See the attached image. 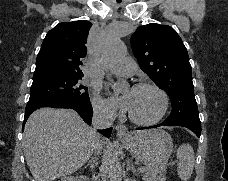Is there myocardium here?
<instances>
[{
  "mask_svg": "<svg viewBox=\"0 0 228 181\" xmlns=\"http://www.w3.org/2000/svg\"><path fill=\"white\" fill-rule=\"evenodd\" d=\"M131 88H133V89L151 88V89L155 90L160 97L161 104H160V107H159L158 111L156 112V114L154 116H152L151 118L140 119V118H137L136 116H134L131 112H129L128 116H129L130 120L139 125H152V124L156 123L157 121H159L164 116V114L167 110L168 97H167L166 93L158 85L151 83V82H145V81L131 83Z\"/></svg>",
  "mask_w": 228,
  "mask_h": 181,
  "instance_id": "obj_1",
  "label": "myocardium"
}]
</instances>
